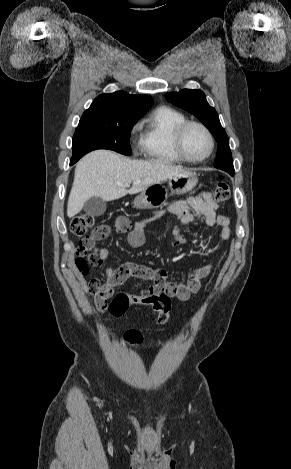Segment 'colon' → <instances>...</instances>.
<instances>
[{
  "instance_id": "colon-1",
  "label": "colon",
  "mask_w": 291,
  "mask_h": 469,
  "mask_svg": "<svg viewBox=\"0 0 291 469\" xmlns=\"http://www.w3.org/2000/svg\"><path fill=\"white\" fill-rule=\"evenodd\" d=\"M229 195L230 187L226 181L221 179L214 189V200L216 202H223L229 198ZM70 230L74 235L82 237L77 249L78 257L76 265L78 269L86 273L88 263L92 266H100L101 261L99 259L89 255V259L86 261L84 255L90 251L95 242L105 238L107 234L106 227L104 225L93 227V217L89 214H81L73 218ZM100 288V283L91 282L88 285V290L91 294H95ZM129 308H144L146 311H156L158 313L157 323L163 325L167 323L170 317V296L167 293H149L147 297L129 299L128 294L124 290L113 294V301L109 311L115 320L120 319L122 317L121 313H127ZM124 339L131 345H137L142 342V335L136 330H129L125 332Z\"/></svg>"
}]
</instances>
